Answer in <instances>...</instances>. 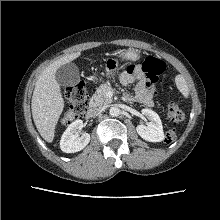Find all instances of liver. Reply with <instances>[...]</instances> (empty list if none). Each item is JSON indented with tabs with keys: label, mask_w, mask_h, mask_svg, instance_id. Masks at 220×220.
Masks as SVG:
<instances>
[{
	"label": "liver",
	"mask_w": 220,
	"mask_h": 220,
	"mask_svg": "<svg viewBox=\"0 0 220 220\" xmlns=\"http://www.w3.org/2000/svg\"><path fill=\"white\" fill-rule=\"evenodd\" d=\"M81 55L72 53L54 61L38 77L32 96L31 109L36 128L42 138L51 143L55 136V127L64 109V99L56 81L57 69Z\"/></svg>",
	"instance_id": "6515ba94"
}]
</instances>
